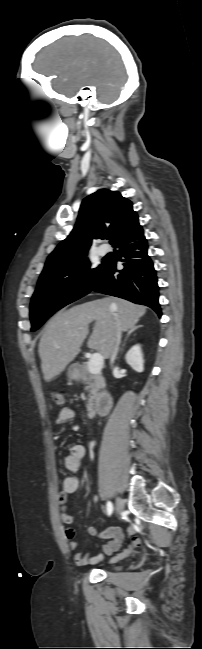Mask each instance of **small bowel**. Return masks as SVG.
I'll list each match as a JSON object with an SVG mask.
<instances>
[{"mask_svg":"<svg viewBox=\"0 0 202 649\" xmlns=\"http://www.w3.org/2000/svg\"><path fill=\"white\" fill-rule=\"evenodd\" d=\"M74 416V410L70 407H65L61 409L58 414V422L61 424L68 423L73 420ZM84 455L85 447L77 444L70 448L69 453L64 460L65 469L71 473V475L64 479L59 493V501L62 504L60 518L62 523L65 525H70L73 522L69 508L65 506V503L68 498L79 489L80 482L78 477L74 474L79 472ZM89 534L96 538L107 539V542L102 546V552L99 554L75 553L73 558L78 566L96 565L101 563L106 556H111L120 549L124 539L123 531L119 527H110L103 532H98L95 528L91 527L89 528ZM64 538L66 539L67 546L70 550L77 549L78 543L75 540V531L72 528L68 527L64 530ZM128 553L129 550L125 549L121 553L111 556L109 562L115 563L125 557Z\"/></svg>","mask_w":202,"mask_h":649,"instance_id":"c3829d8e","label":"small bowel"}]
</instances>
